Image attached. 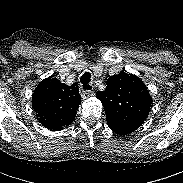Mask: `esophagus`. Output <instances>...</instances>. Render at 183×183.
<instances>
[{
	"mask_svg": "<svg viewBox=\"0 0 183 183\" xmlns=\"http://www.w3.org/2000/svg\"><path fill=\"white\" fill-rule=\"evenodd\" d=\"M92 95H93L92 90H85V91L82 92L81 96H82L83 99H87V98L91 97Z\"/></svg>",
	"mask_w": 183,
	"mask_h": 183,
	"instance_id": "obj_1",
	"label": "esophagus"
}]
</instances>
